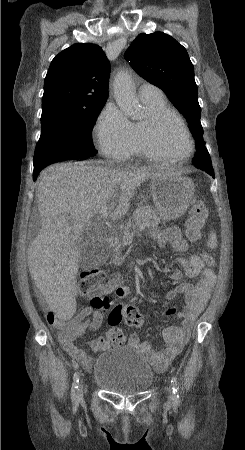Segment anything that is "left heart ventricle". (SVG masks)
Wrapping results in <instances>:
<instances>
[{
  "label": "left heart ventricle",
  "instance_id": "b2bd125f",
  "mask_svg": "<svg viewBox=\"0 0 245 450\" xmlns=\"http://www.w3.org/2000/svg\"><path fill=\"white\" fill-rule=\"evenodd\" d=\"M159 143L162 149L173 156H182L189 152V142L182 129L173 121H168L161 129Z\"/></svg>",
  "mask_w": 245,
  "mask_h": 450
}]
</instances>
